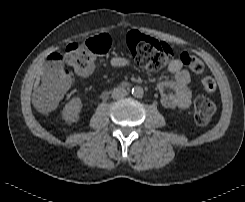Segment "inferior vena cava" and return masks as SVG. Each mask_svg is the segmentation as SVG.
Listing matches in <instances>:
<instances>
[{
  "instance_id": "inferior-vena-cava-1",
  "label": "inferior vena cava",
  "mask_w": 245,
  "mask_h": 202,
  "mask_svg": "<svg viewBox=\"0 0 245 202\" xmlns=\"http://www.w3.org/2000/svg\"><path fill=\"white\" fill-rule=\"evenodd\" d=\"M127 94H128V92L124 88H121V87L114 88V90L112 91V98L113 99L123 98Z\"/></svg>"
}]
</instances>
